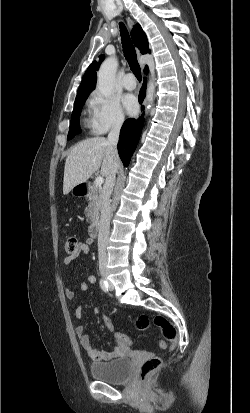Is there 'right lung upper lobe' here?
Returning a JSON list of instances; mask_svg holds the SVG:
<instances>
[{"mask_svg": "<svg viewBox=\"0 0 250 413\" xmlns=\"http://www.w3.org/2000/svg\"><path fill=\"white\" fill-rule=\"evenodd\" d=\"M132 32H133L132 34L133 42L138 47L140 52L142 54H146L147 52L150 53V50L148 47V40L141 26L139 24H136ZM104 58H105L104 55H100L97 61H93L90 64V66L88 67V69L86 70L82 78L76 97L89 94L95 88L96 80H97L96 71L98 70ZM146 69H147V66H146Z\"/></svg>", "mask_w": 250, "mask_h": 413, "instance_id": "right-lung-upper-lobe-1", "label": "right lung upper lobe"}]
</instances>
